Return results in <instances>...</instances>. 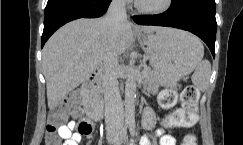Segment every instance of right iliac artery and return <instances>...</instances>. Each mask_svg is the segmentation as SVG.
<instances>
[{
	"label": "right iliac artery",
	"instance_id": "obj_1",
	"mask_svg": "<svg viewBox=\"0 0 243 145\" xmlns=\"http://www.w3.org/2000/svg\"><path fill=\"white\" fill-rule=\"evenodd\" d=\"M127 125L124 126L122 132L120 133V137L118 140L115 142V145H121L123 143V140L125 139V136L127 134Z\"/></svg>",
	"mask_w": 243,
	"mask_h": 145
}]
</instances>
